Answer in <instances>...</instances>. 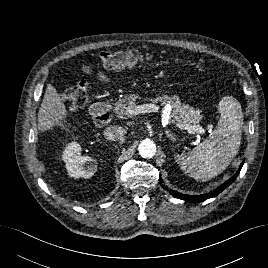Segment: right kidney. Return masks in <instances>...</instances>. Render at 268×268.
Returning <instances> with one entry per match:
<instances>
[{"mask_svg": "<svg viewBox=\"0 0 268 268\" xmlns=\"http://www.w3.org/2000/svg\"><path fill=\"white\" fill-rule=\"evenodd\" d=\"M62 159L71 177L90 178L97 171V161L89 156H81V147L75 141L65 147Z\"/></svg>", "mask_w": 268, "mask_h": 268, "instance_id": "obj_1", "label": "right kidney"}]
</instances>
